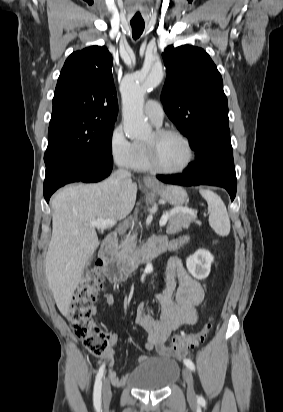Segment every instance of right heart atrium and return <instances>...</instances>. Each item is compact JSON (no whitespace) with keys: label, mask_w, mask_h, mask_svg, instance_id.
Returning a JSON list of instances; mask_svg holds the SVG:
<instances>
[{"label":"right heart atrium","mask_w":283,"mask_h":412,"mask_svg":"<svg viewBox=\"0 0 283 412\" xmlns=\"http://www.w3.org/2000/svg\"><path fill=\"white\" fill-rule=\"evenodd\" d=\"M108 147L115 164L125 168L131 166L135 157V144L126 137L121 125H117L112 129Z\"/></svg>","instance_id":"obj_1"}]
</instances>
